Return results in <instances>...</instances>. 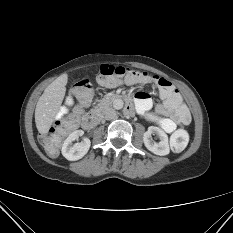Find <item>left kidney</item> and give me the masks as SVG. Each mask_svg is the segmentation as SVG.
I'll return each instance as SVG.
<instances>
[{
  "mask_svg": "<svg viewBox=\"0 0 233 233\" xmlns=\"http://www.w3.org/2000/svg\"><path fill=\"white\" fill-rule=\"evenodd\" d=\"M153 133H156L159 136L160 142H153V140L151 139V135ZM143 142L145 147L156 155L165 156L168 155L170 152L168 136L159 127L150 126L143 135Z\"/></svg>",
  "mask_w": 233,
  "mask_h": 233,
  "instance_id": "obj_1",
  "label": "left kidney"
}]
</instances>
